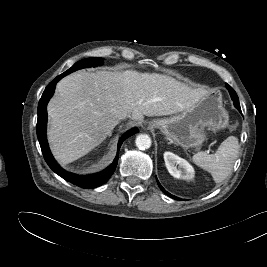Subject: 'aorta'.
<instances>
[{
    "label": "aorta",
    "mask_w": 267,
    "mask_h": 267,
    "mask_svg": "<svg viewBox=\"0 0 267 267\" xmlns=\"http://www.w3.org/2000/svg\"><path fill=\"white\" fill-rule=\"evenodd\" d=\"M135 143L140 150H145L150 148L151 138L147 134H140L136 137Z\"/></svg>",
    "instance_id": "aorta-1"
}]
</instances>
